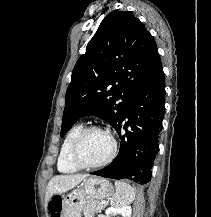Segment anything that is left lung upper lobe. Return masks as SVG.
<instances>
[{
  "label": "left lung upper lobe",
  "instance_id": "obj_1",
  "mask_svg": "<svg viewBox=\"0 0 211 217\" xmlns=\"http://www.w3.org/2000/svg\"><path fill=\"white\" fill-rule=\"evenodd\" d=\"M161 68L157 45L143 23L129 11L110 12L73 69L60 136L85 115L115 128L135 92Z\"/></svg>",
  "mask_w": 211,
  "mask_h": 217
}]
</instances>
